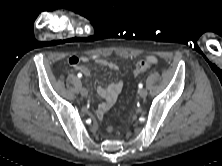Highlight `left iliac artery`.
<instances>
[{
  "instance_id": "left-iliac-artery-1",
  "label": "left iliac artery",
  "mask_w": 222,
  "mask_h": 166,
  "mask_svg": "<svg viewBox=\"0 0 222 166\" xmlns=\"http://www.w3.org/2000/svg\"><path fill=\"white\" fill-rule=\"evenodd\" d=\"M138 87H139V88H142V87H143V84L140 83V84L138 85Z\"/></svg>"
}]
</instances>
